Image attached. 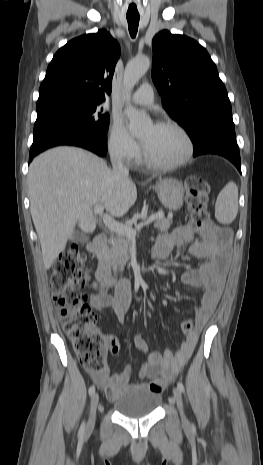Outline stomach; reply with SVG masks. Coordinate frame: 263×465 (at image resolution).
I'll return each instance as SVG.
<instances>
[{
	"label": "stomach",
	"instance_id": "stomach-1",
	"mask_svg": "<svg viewBox=\"0 0 263 465\" xmlns=\"http://www.w3.org/2000/svg\"><path fill=\"white\" fill-rule=\"evenodd\" d=\"M154 188L164 207L172 211H177L182 207L184 189L180 181L171 178L159 180Z\"/></svg>",
	"mask_w": 263,
	"mask_h": 465
}]
</instances>
